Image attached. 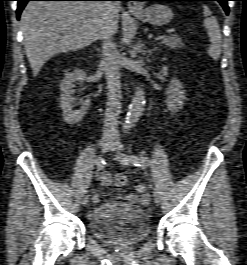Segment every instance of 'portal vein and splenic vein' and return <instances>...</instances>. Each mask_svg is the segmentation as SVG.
Returning a JSON list of instances; mask_svg holds the SVG:
<instances>
[{
  "label": "portal vein and splenic vein",
  "mask_w": 247,
  "mask_h": 265,
  "mask_svg": "<svg viewBox=\"0 0 247 265\" xmlns=\"http://www.w3.org/2000/svg\"><path fill=\"white\" fill-rule=\"evenodd\" d=\"M165 36L164 35H159L155 38V41H160L164 38Z\"/></svg>",
  "instance_id": "obj_1"
}]
</instances>
